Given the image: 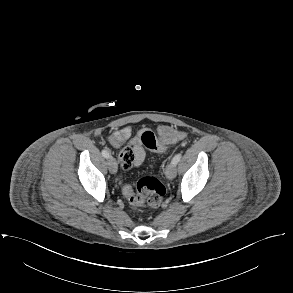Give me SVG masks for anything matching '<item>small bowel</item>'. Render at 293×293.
I'll return each instance as SVG.
<instances>
[{"instance_id": "obj_1", "label": "small bowel", "mask_w": 293, "mask_h": 293, "mask_svg": "<svg viewBox=\"0 0 293 293\" xmlns=\"http://www.w3.org/2000/svg\"><path fill=\"white\" fill-rule=\"evenodd\" d=\"M159 134L163 142L167 144L181 141L186 137L185 132L175 131L167 126L160 127ZM107 141L114 148H120L126 142H129V146L123 148L119 154L123 169L129 170L144 162L146 151L141 142V133L132 135L131 127L126 126L113 131L107 138Z\"/></svg>"}]
</instances>
